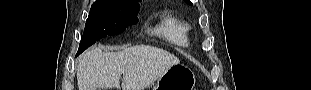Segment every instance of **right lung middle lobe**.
I'll return each instance as SVG.
<instances>
[{
	"mask_svg": "<svg viewBox=\"0 0 311 90\" xmlns=\"http://www.w3.org/2000/svg\"><path fill=\"white\" fill-rule=\"evenodd\" d=\"M140 5L116 0L96 1L90 9L78 54L105 36L122 33L138 22Z\"/></svg>",
	"mask_w": 311,
	"mask_h": 90,
	"instance_id": "obj_1",
	"label": "right lung middle lobe"
}]
</instances>
